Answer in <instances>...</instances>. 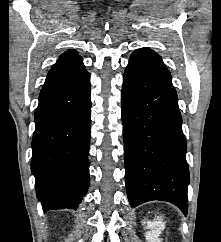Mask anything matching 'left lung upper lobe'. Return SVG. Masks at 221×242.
<instances>
[{"label":"left lung upper lobe","mask_w":221,"mask_h":242,"mask_svg":"<svg viewBox=\"0 0 221 242\" xmlns=\"http://www.w3.org/2000/svg\"><path fill=\"white\" fill-rule=\"evenodd\" d=\"M128 65L157 80L172 84L171 75L161 57L149 48H140L134 51L130 56Z\"/></svg>","instance_id":"5c2ea615"}]
</instances>
